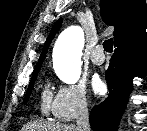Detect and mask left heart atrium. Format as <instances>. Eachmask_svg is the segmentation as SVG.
Returning a JSON list of instances; mask_svg holds the SVG:
<instances>
[{
    "instance_id": "1",
    "label": "left heart atrium",
    "mask_w": 147,
    "mask_h": 131,
    "mask_svg": "<svg viewBox=\"0 0 147 131\" xmlns=\"http://www.w3.org/2000/svg\"><path fill=\"white\" fill-rule=\"evenodd\" d=\"M92 90L96 94H100L104 90V83L99 76H94L91 81Z\"/></svg>"
}]
</instances>
